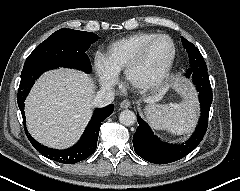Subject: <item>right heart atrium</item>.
Returning <instances> with one entry per match:
<instances>
[{
	"mask_svg": "<svg viewBox=\"0 0 240 191\" xmlns=\"http://www.w3.org/2000/svg\"><path fill=\"white\" fill-rule=\"evenodd\" d=\"M94 67L104 86L113 88L118 83V73L114 70L106 55L96 53Z\"/></svg>",
	"mask_w": 240,
	"mask_h": 191,
	"instance_id": "d8ad5b80",
	"label": "right heart atrium"
}]
</instances>
